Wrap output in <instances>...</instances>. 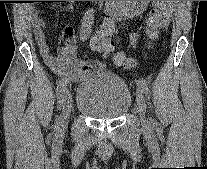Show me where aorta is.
<instances>
[{"mask_svg":"<svg viewBox=\"0 0 207 169\" xmlns=\"http://www.w3.org/2000/svg\"><path fill=\"white\" fill-rule=\"evenodd\" d=\"M133 1H109L110 10L118 14H126L129 12V9Z\"/></svg>","mask_w":207,"mask_h":169,"instance_id":"762f6f07","label":"aorta"}]
</instances>
